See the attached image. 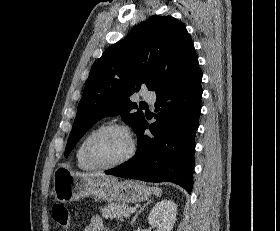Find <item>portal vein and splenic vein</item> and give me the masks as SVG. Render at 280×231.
<instances>
[{"mask_svg": "<svg viewBox=\"0 0 280 231\" xmlns=\"http://www.w3.org/2000/svg\"><path fill=\"white\" fill-rule=\"evenodd\" d=\"M126 211H135V207H125Z\"/></svg>", "mask_w": 280, "mask_h": 231, "instance_id": "18ae733b", "label": "portal vein and splenic vein"}]
</instances>
